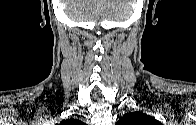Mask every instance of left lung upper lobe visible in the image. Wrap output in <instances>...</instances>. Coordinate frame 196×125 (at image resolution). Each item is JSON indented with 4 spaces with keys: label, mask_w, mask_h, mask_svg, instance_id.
I'll list each match as a JSON object with an SVG mask.
<instances>
[{
    "label": "left lung upper lobe",
    "mask_w": 196,
    "mask_h": 125,
    "mask_svg": "<svg viewBox=\"0 0 196 125\" xmlns=\"http://www.w3.org/2000/svg\"><path fill=\"white\" fill-rule=\"evenodd\" d=\"M117 125H159V122L141 112H130L119 119Z\"/></svg>",
    "instance_id": "obj_1"
}]
</instances>
